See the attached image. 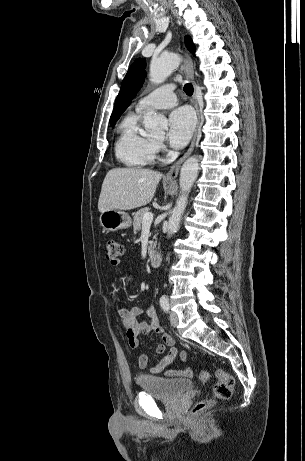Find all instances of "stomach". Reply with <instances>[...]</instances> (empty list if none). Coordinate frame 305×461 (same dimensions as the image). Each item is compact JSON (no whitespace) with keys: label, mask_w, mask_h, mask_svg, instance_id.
Returning a JSON list of instances; mask_svg holds the SVG:
<instances>
[{"label":"stomach","mask_w":305,"mask_h":461,"mask_svg":"<svg viewBox=\"0 0 305 461\" xmlns=\"http://www.w3.org/2000/svg\"><path fill=\"white\" fill-rule=\"evenodd\" d=\"M100 225L107 231H117L130 228L132 224L128 213L121 210H108L100 214Z\"/></svg>","instance_id":"obj_1"}]
</instances>
